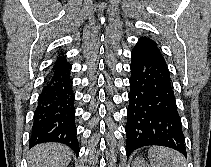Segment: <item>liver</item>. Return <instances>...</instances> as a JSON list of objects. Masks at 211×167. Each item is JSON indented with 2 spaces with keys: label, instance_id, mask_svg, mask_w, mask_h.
<instances>
[{
  "label": "liver",
  "instance_id": "6515ba94",
  "mask_svg": "<svg viewBox=\"0 0 211 167\" xmlns=\"http://www.w3.org/2000/svg\"><path fill=\"white\" fill-rule=\"evenodd\" d=\"M73 152L65 145L44 143L31 149L28 156L29 167H66Z\"/></svg>",
  "mask_w": 211,
  "mask_h": 167
}]
</instances>
